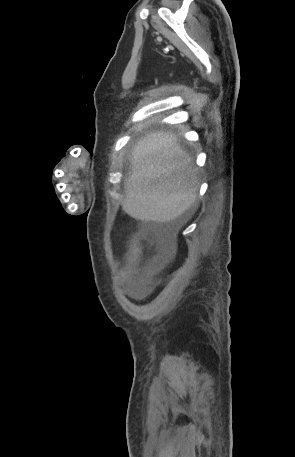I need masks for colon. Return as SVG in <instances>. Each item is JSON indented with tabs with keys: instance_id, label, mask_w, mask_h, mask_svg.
<instances>
[{
	"instance_id": "obj_1",
	"label": "colon",
	"mask_w": 295,
	"mask_h": 457,
	"mask_svg": "<svg viewBox=\"0 0 295 457\" xmlns=\"http://www.w3.org/2000/svg\"><path fill=\"white\" fill-rule=\"evenodd\" d=\"M141 252H142V246H141L139 240H137V239L133 240V242L131 244L130 259L131 260L136 259L137 257H139Z\"/></svg>"
}]
</instances>
